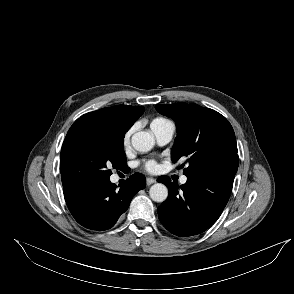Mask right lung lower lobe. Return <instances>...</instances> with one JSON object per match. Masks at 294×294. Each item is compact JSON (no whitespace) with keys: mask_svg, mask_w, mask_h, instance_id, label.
I'll use <instances>...</instances> for the list:
<instances>
[{"mask_svg":"<svg viewBox=\"0 0 294 294\" xmlns=\"http://www.w3.org/2000/svg\"><path fill=\"white\" fill-rule=\"evenodd\" d=\"M145 186V177L135 173L119 189L108 178L63 186V191L75 220L85 228L102 231L114 226Z\"/></svg>","mask_w":294,"mask_h":294,"instance_id":"right-lung-lower-lobe-1","label":"right lung lower lobe"}]
</instances>
